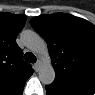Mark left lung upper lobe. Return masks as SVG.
Segmentation results:
<instances>
[{
  "instance_id": "1",
  "label": "left lung upper lobe",
  "mask_w": 95,
  "mask_h": 95,
  "mask_svg": "<svg viewBox=\"0 0 95 95\" xmlns=\"http://www.w3.org/2000/svg\"><path fill=\"white\" fill-rule=\"evenodd\" d=\"M31 26L46 40L55 69L53 84L75 83L95 89V27L63 13L40 15Z\"/></svg>"
}]
</instances>
